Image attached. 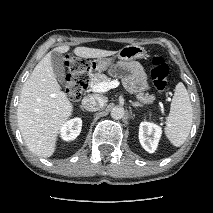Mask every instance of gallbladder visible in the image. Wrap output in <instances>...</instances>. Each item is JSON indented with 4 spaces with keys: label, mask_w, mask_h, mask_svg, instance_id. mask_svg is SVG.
<instances>
[{
    "label": "gallbladder",
    "mask_w": 213,
    "mask_h": 213,
    "mask_svg": "<svg viewBox=\"0 0 213 213\" xmlns=\"http://www.w3.org/2000/svg\"><path fill=\"white\" fill-rule=\"evenodd\" d=\"M51 64L56 78L63 83L65 81L64 56L57 51H52Z\"/></svg>",
    "instance_id": "1"
}]
</instances>
